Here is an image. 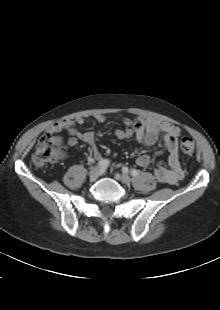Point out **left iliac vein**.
I'll return each mask as SVG.
<instances>
[{
    "instance_id": "1",
    "label": "left iliac vein",
    "mask_w": 220,
    "mask_h": 310,
    "mask_svg": "<svg viewBox=\"0 0 220 310\" xmlns=\"http://www.w3.org/2000/svg\"><path fill=\"white\" fill-rule=\"evenodd\" d=\"M115 176L118 180L125 184H129L131 182V179L127 174H116Z\"/></svg>"
}]
</instances>
